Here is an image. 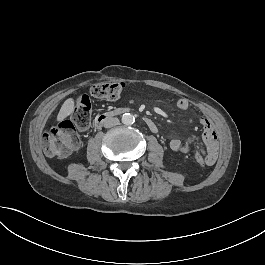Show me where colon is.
<instances>
[{"mask_svg": "<svg viewBox=\"0 0 265 265\" xmlns=\"http://www.w3.org/2000/svg\"><path fill=\"white\" fill-rule=\"evenodd\" d=\"M122 90L121 83H101L92 86L87 94L80 95V99L75 103L72 120L56 125L43 135L45 153L51 157L64 156L69 153L78 139L75 126L87 128L91 123V97L113 101L120 97ZM194 159L201 166L207 165L203 154L199 151L194 153Z\"/></svg>", "mask_w": 265, "mask_h": 265, "instance_id": "obj_1", "label": "colon"}]
</instances>
